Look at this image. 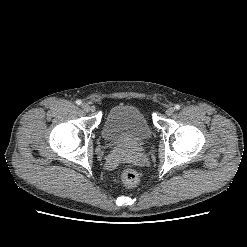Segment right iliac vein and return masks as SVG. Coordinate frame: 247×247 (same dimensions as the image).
<instances>
[{"mask_svg": "<svg viewBox=\"0 0 247 247\" xmlns=\"http://www.w3.org/2000/svg\"><path fill=\"white\" fill-rule=\"evenodd\" d=\"M82 109H83L85 112H89L90 109H91V107H90L89 104L83 103V104H82Z\"/></svg>", "mask_w": 247, "mask_h": 247, "instance_id": "1", "label": "right iliac vein"}]
</instances>
